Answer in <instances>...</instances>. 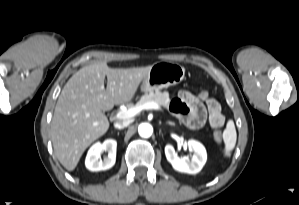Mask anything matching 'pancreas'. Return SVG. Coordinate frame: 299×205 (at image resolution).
I'll return each instance as SVG.
<instances>
[{
	"instance_id": "obj_1",
	"label": "pancreas",
	"mask_w": 299,
	"mask_h": 205,
	"mask_svg": "<svg viewBox=\"0 0 299 205\" xmlns=\"http://www.w3.org/2000/svg\"><path fill=\"white\" fill-rule=\"evenodd\" d=\"M147 102H155L161 106H164L165 108L168 107L170 99H169V93L168 92H150L149 94L143 95L140 100L137 102V105H143Z\"/></svg>"
}]
</instances>
